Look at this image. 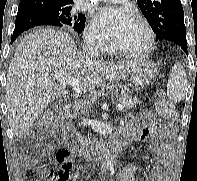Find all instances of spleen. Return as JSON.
Returning <instances> with one entry per match:
<instances>
[{
    "label": "spleen",
    "instance_id": "obj_1",
    "mask_svg": "<svg viewBox=\"0 0 197 181\" xmlns=\"http://www.w3.org/2000/svg\"><path fill=\"white\" fill-rule=\"evenodd\" d=\"M186 90L187 76L184 67L181 63H175L167 83L168 99L174 103H179L184 100Z\"/></svg>",
    "mask_w": 197,
    "mask_h": 181
}]
</instances>
